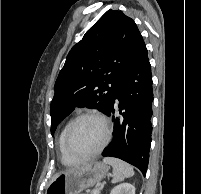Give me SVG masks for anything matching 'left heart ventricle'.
I'll use <instances>...</instances> for the list:
<instances>
[{
    "instance_id": "left-heart-ventricle-1",
    "label": "left heart ventricle",
    "mask_w": 201,
    "mask_h": 194,
    "mask_svg": "<svg viewBox=\"0 0 201 194\" xmlns=\"http://www.w3.org/2000/svg\"><path fill=\"white\" fill-rule=\"evenodd\" d=\"M104 137L103 124L97 119L85 118L75 125L70 145L75 153L85 155L98 149Z\"/></svg>"
}]
</instances>
